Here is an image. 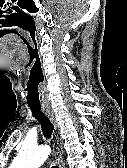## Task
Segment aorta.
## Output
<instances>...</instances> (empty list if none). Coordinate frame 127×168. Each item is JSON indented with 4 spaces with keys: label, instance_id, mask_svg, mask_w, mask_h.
I'll return each mask as SVG.
<instances>
[{
    "label": "aorta",
    "instance_id": "1",
    "mask_svg": "<svg viewBox=\"0 0 127 168\" xmlns=\"http://www.w3.org/2000/svg\"><path fill=\"white\" fill-rule=\"evenodd\" d=\"M46 146H23L10 168H39L48 158Z\"/></svg>",
    "mask_w": 127,
    "mask_h": 168
}]
</instances>
